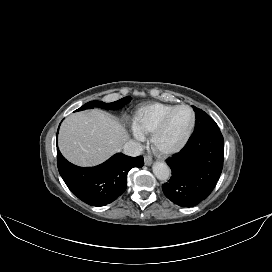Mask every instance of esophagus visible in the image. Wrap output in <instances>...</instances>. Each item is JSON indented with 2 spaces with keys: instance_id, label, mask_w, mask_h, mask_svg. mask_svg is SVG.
Wrapping results in <instances>:
<instances>
[{
  "instance_id": "34e87169",
  "label": "esophagus",
  "mask_w": 272,
  "mask_h": 272,
  "mask_svg": "<svg viewBox=\"0 0 272 272\" xmlns=\"http://www.w3.org/2000/svg\"><path fill=\"white\" fill-rule=\"evenodd\" d=\"M144 162H145V165L149 166L152 164L153 160L150 156H145Z\"/></svg>"
}]
</instances>
